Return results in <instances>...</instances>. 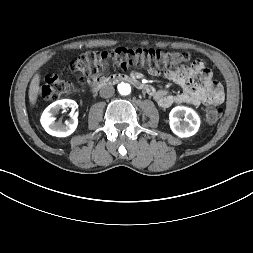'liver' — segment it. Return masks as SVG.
Segmentation results:
<instances>
[{
    "instance_id": "6515ba94",
    "label": "liver",
    "mask_w": 253,
    "mask_h": 253,
    "mask_svg": "<svg viewBox=\"0 0 253 253\" xmlns=\"http://www.w3.org/2000/svg\"><path fill=\"white\" fill-rule=\"evenodd\" d=\"M40 75L38 73H36L33 77V79L31 80L30 86H29V102L31 105H35L37 98H38V94L40 91Z\"/></svg>"
}]
</instances>
